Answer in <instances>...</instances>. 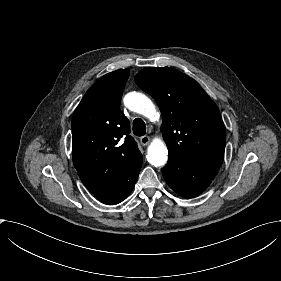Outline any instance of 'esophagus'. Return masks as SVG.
I'll use <instances>...</instances> for the list:
<instances>
[{
	"mask_svg": "<svg viewBox=\"0 0 281 281\" xmlns=\"http://www.w3.org/2000/svg\"><path fill=\"white\" fill-rule=\"evenodd\" d=\"M140 142H141V144H142L143 146H146V145H148L149 142H150V137H149V136H142V137L140 138Z\"/></svg>",
	"mask_w": 281,
	"mask_h": 281,
	"instance_id": "esophagus-1",
	"label": "esophagus"
}]
</instances>
